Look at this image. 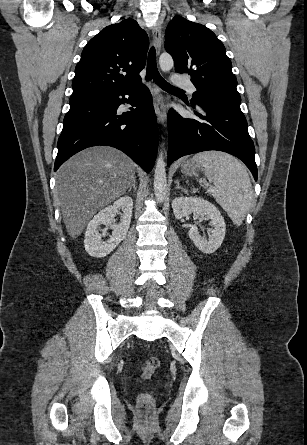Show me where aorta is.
I'll return each instance as SVG.
<instances>
[{
  "label": "aorta",
  "instance_id": "762f6f07",
  "mask_svg": "<svg viewBox=\"0 0 307 445\" xmlns=\"http://www.w3.org/2000/svg\"><path fill=\"white\" fill-rule=\"evenodd\" d=\"M159 64L161 70H171L174 62L171 54L169 52H162L159 56ZM163 152H160L159 158H157L155 174H154V194L159 200L163 202L165 194L167 192V178H166V168Z\"/></svg>",
  "mask_w": 307,
  "mask_h": 445
}]
</instances>
